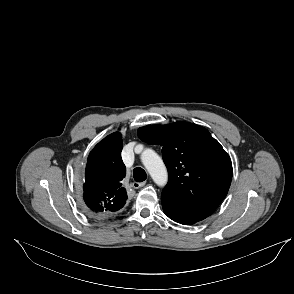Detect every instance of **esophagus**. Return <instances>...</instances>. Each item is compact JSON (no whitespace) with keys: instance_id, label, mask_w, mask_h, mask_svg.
I'll use <instances>...</instances> for the list:
<instances>
[{"instance_id":"1","label":"esophagus","mask_w":294,"mask_h":294,"mask_svg":"<svg viewBox=\"0 0 294 294\" xmlns=\"http://www.w3.org/2000/svg\"><path fill=\"white\" fill-rule=\"evenodd\" d=\"M145 184H146L145 181H144V182H133V183H132V187H133L134 189H138V188H140V187H143Z\"/></svg>"}]
</instances>
